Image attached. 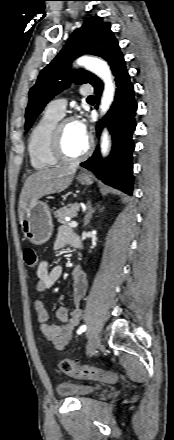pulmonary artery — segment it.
<instances>
[{
  "label": "pulmonary artery",
  "instance_id": "pulmonary-artery-1",
  "mask_svg": "<svg viewBox=\"0 0 174 440\" xmlns=\"http://www.w3.org/2000/svg\"><path fill=\"white\" fill-rule=\"evenodd\" d=\"M93 92V89L89 86H82L80 89V93L83 96H89ZM46 110L50 113L56 114L58 116H63L66 110V100L65 99H56L51 101Z\"/></svg>",
  "mask_w": 174,
  "mask_h": 440
}]
</instances>
